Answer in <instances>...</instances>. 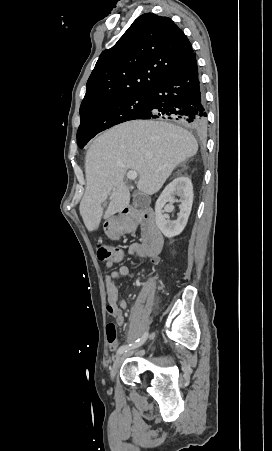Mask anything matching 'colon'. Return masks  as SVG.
Returning a JSON list of instances; mask_svg holds the SVG:
<instances>
[{
    "mask_svg": "<svg viewBox=\"0 0 272 451\" xmlns=\"http://www.w3.org/2000/svg\"><path fill=\"white\" fill-rule=\"evenodd\" d=\"M97 262H106L109 256H121V247H107L102 244L96 245ZM106 338L109 346H115L117 340V325L114 322H107L105 326Z\"/></svg>",
    "mask_w": 272,
    "mask_h": 451,
    "instance_id": "obj_1",
    "label": "colon"
}]
</instances>
